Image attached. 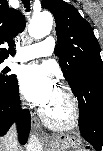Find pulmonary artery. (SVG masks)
<instances>
[{
    "label": "pulmonary artery",
    "instance_id": "1",
    "mask_svg": "<svg viewBox=\"0 0 103 151\" xmlns=\"http://www.w3.org/2000/svg\"><path fill=\"white\" fill-rule=\"evenodd\" d=\"M54 48L55 40L49 36L39 43L21 47L18 51L17 59L28 61L38 57H46L53 53Z\"/></svg>",
    "mask_w": 103,
    "mask_h": 151
}]
</instances>
